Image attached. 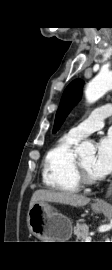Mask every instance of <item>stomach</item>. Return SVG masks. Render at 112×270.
I'll use <instances>...</instances> for the list:
<instances>
[{
    "mask_svg": "<svg viewBox=\"0 0 112 270\" xmlns=\"http://www.w3.org/2000/svg\"><path fill=\"white\" fill-rule=\"evenodd\" d=\"M95 213L103 211V207L92 205ZM27 226L30 232L41 240H69L72 235L71 220L58 213L48 202H37L29 208ZM52 242V241H44Z\"/></svg>",
    "mask_w": 112,
    "mask_h": 270,
    "instance_id": "obj_1",
    "label": "stomach"
}]
</instances>
